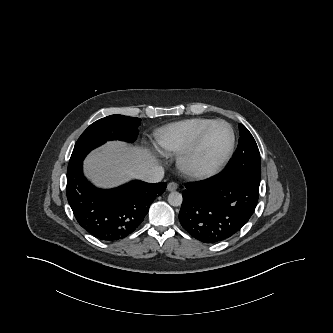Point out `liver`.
I'll return each instance as SVG.
<instances>
[{"instance_id":"1","label":"liver","mask_w":333,"mask_h":333,"mask_svg":"<svg viewBox=\"0 0 333 333\" xmlns=\"http://www.w3.org/2000/svg\"><path fill=\"white\" fill-rule=\"evenodd\" d=\"M155 164V158L141 148L110 142L85 160V173L96 185L110 188L125 182Z\"/></svg>"}]
</instances>
